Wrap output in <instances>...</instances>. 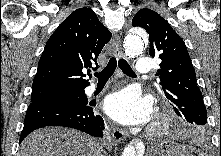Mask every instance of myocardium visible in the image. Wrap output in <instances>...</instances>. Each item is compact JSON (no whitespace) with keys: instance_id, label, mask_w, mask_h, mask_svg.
<instances>
[{"instance_id":"f54148a6","label":"myocardium","mask_w":221,"mask_h":156,"mask_svg":"<svg viewBox=\"0 0 221 156\" xmlns=\"http://www.w3.org/2000/svg\"><path fill=\"white\" fill-rule=\"evenodd\" d=\"M171 126V118L167 113H159L155 122L151 126L149 133L151 136H160L165 134Z\"/></svg>"}]
</instances>
